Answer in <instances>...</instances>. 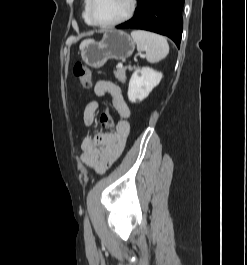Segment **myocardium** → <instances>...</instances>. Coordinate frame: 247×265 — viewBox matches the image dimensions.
I'll return each mask as SVG.
<instances>
[{"mask_svg": "<svg viewBox=\"0 0 247 265\" xmlns=\"http://www.w3.org/2000/svg\"><path fill=\"white\" fill-rule=\"evenodd\" d=\"M94 1L95 0H89L88 9H87L88 17H89V20H90L92 25L99 27V28H103V29H109V28L117 27L119 25H122V24L128 22L135 15L136 10H137V6H138V0H130L129 1V3H130L129 9L124 16L120 17L119 19H117L115 21L109 22V23H100V22L96 21L94 16H93Z\"/></svg>", "mask_w": 247, "mask_h": 265, "instance_id": "f54148a6", "label": "myocardium"}]
</instances>
